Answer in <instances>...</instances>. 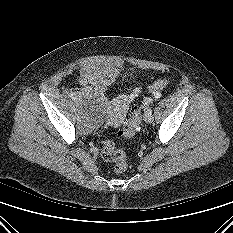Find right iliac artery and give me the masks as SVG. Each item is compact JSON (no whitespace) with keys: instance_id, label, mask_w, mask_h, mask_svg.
<instances>
[{"instance_id":"right-iliac-artery-1","label":"right iliac artery","mask_w":233,"mask_h":233,"mask_svg":"<svg viewBox=\"0 0 233 233\" xmlns=\"http://www.w3.org/2000/svg\"><path fill=\"white\" fill-rule=\"evenodd\" d=\"M70 97L73 99V100H76V94L74 92H71L70 93Z\"/></svg>"}]
</instances>
